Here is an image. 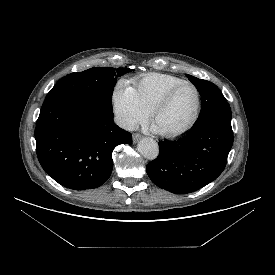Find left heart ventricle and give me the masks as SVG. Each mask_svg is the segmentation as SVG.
I'll use <instances>...</instances> for the list:
<instances>
[{"label":"left heart ventricle","mask_w":275,"mask_h":275,"mask_svg":"<svg viewBox=\"0 0 275 275\" xmlns=\"http://www.w3.org/2000/svg\"><path fill=\"white\" fill-rule=\"evenodd\" d=\"M195 107V91L190 86H182L173 94L168 105L158 113L154 124L162 132L178 130L190 121Z\"/></svg>","instance_id":"obj_1"}]
</instances>
